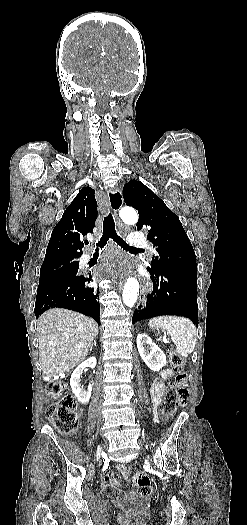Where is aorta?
<instances>
[{"label":"aorta","instance_id":"762f6f07","mask_svg":"<svg viewBox=\"0 0 247 525\" xmlns=\"http://www.w3.org/2000/svg\"><path fill=\"white\" fill-rule=\"evenodd\" d=\"M119 215L124 223L134 225L138 221V214L133 208L124 207ZM139 294V282L135 277H129L123 290V302L126 306L132 307Z\"/></svg>","mask_w":247,"mask_h":525}]
</instances>
